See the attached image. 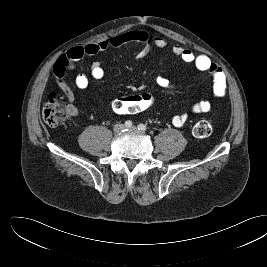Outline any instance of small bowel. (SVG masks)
<instances>
[{
    "label": "small bowel",
    "instance_id": "c3829d8e",
    "mask_svg": "<svg viewBox=\"0 0 267 267\" xmlns=\"http://www.w3.org/2000/svg\"><path fill=\"white\" fill-rule=\"evenodd\" d=\"M123 45H141L142 50L138 58L143 57L145 52L151 47L163 48L167 45L166 40L158 35H150L145 31L130 30L114 36L109 40H102L95 43L76 46L69 49L61 55L53 66V72L57 83L69 102L73 103L75 94L69 84L64 80L65 72L74 69L76 63L84 56H95L109 48H116ZM172 53L187 64H193L195 68L201 72H208L212 77L213 94L217 98H222L226 94V77L222 69L213 63L210 58L204 54L196 55L190 49L181 45H174ZM90 75L92 78L99 80L104 77V69L100 62L94 61L91 64ZM157 84L164 89H178L180 86L172 83L167 77L159 75L156 78ZM78 89H86L90 80L85 73H79L74 80ZM211 109L210 101L203 99L194 103L189 112H182L172 117L171 122L176 127L183 126L189 117V113L203 114ZM72 114L77 112L76 108L71 105Z\"/></svg>",
    "mask_w": 267,
    "mask_h": 267
}]
</instances>
